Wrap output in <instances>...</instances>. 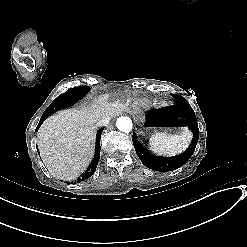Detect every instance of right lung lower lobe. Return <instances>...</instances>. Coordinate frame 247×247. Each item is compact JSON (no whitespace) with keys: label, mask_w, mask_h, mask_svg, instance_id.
<instances>
[{"label":"right lung lower lobe","mask_w":247,"mask_h":247,"mask_svg":"<svg viewBox=\"0 0 247 247\" xmlns=\"http://www.w3.org/2000/svg\"><path fill=\"white\" fill-rule=\"evenodd\" d=\"M47 117L48 116H46V115H42V117H41V119H40V121H39V123L37 125L36 131H38L39 127L42 125V123L44 122V120ZM102 130L103 129L98 130L97 144H96V153L94 155V158L91 161L88 169L83 174L82 179H79L78 181H81V180H84V179H88L89 177H91L94 174V172H95V170L97 168V164H98L99 158H100V137H101Z\"/></svg>","instance_id":"obj_1"}]
</instances>
